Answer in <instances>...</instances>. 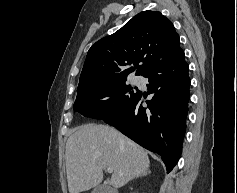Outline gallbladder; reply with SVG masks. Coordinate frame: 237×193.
<instances>
[{"mask_svg":"<svg viewBox=\"0 0 237 193\" xmlns=\"http://www.w3.org/2000/svg\"><path fill=\"white\" fill-rule=\"evenodd\" d=\"M92 193H110V189L106 185H98L94 188Z\"/></svg>","mask_w":237,"mask_h":193,"instance_id":"1","label":"gallbladder"}]
</instances>
